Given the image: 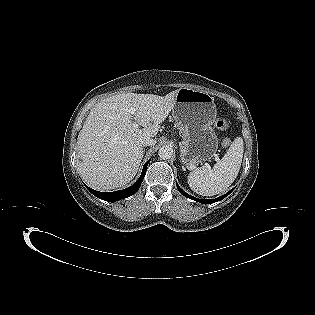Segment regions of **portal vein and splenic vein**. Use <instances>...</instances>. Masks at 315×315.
<instances>
[{
    "label": "portal vein and splenic vein",
    "instance_id": "18ae733b",
    "mask_svg": "<svg viewBox=\"0 0 315 315\" xmlns=\"http://www.w3.org/2000/svg\"><path fill=\"white\" fill-rule=\"evenodd\" d=\"M135 108H133V107H131L130 109H129V112L132 114V115H134L135 114ZM134 127H138V124H134Z\"/></svg>",
    "mask_w": 315,
    "mask_h": 315
}]
</instances>
